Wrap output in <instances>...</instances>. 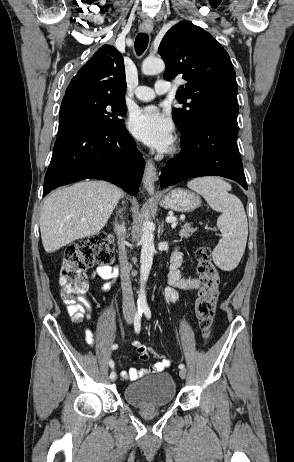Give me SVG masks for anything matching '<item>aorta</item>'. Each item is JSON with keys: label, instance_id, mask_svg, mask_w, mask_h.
<instances>
[{"label": "aorta", "instance_id": "aorta-1", "mask_svg": "<svg viewBox=\"0 0 294 462\" xmlns=\"http://www.w3.org/2000/svg\"><path fill=\"white\" fill-rule=\"evenodd\" d=\"M164 69L165 64L159 58H146L142 63V72L145 75L158 74ZM153 227V223L148 219V213H145L140 240L142 245L140 255V289L137 300V305L141 308L147 306L145 284L149 277L155 253Z\"/></svg>", "mask_w": 294, "mask_h": 462}]
</instances>
